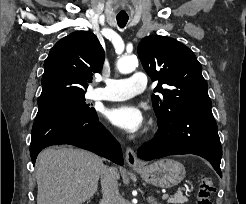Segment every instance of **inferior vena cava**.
Returning <instances> with one entry per match:
<instances>
[{"instance_id": "inferior-vena-cava-1", "label": "inferior vena cava", "mask_w": 246, "mask_h": 204, "mask_svg": "<svg viewBox=\"0 0 246 204\" xmlns=\"http://www.w3.org/2000/svg\"><path fill=\"white\" fill-rule=\"evenodd\" d=\"M102 200L101 204H120L121 197L118 190L116 169L104 167L101 173Z\"/></svg>"}]
</instances>
